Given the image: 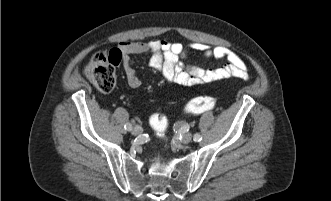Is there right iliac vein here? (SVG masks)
<instances>
[{"instance_id":"obj_1","label":"right iliac vein","mask_w":331,"mask_h":201,"mask_svg":"<svg viewBox=\"0 0 331 201\" xmlns=\"http://www.w3.org/2000/svg\"><path fill=\"white\" fill-rule=\"evenodd\" d=\"M142 128L140 126H135L133 129H132V134L133 135H139L140 133H142Z\"/></svg>"}]
</instances>
